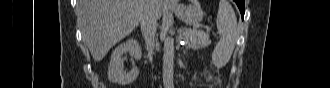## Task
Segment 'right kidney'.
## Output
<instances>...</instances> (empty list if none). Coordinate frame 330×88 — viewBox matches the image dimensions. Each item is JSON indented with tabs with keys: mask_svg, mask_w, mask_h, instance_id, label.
<instances>
[{
	"mask_svg": "<svg viewBox=\"0 0 330 88\" xmlns=\"http://www.w3.org/2000/svg\"><path fill=\"white\" fill-rule=\"evenodd\" d=\"M126 52H129L137 61L142 57L141 47L135 39L130 38L126 42L118 45L111 55L108 67V79L112 83L120 85L130 84L136 80L139 75V69L136 66H133L129 72L124 71L122 55Z\"/></svg>",
	"mask_w": 330,
	"mask_h": 88,
	"instance_id": "right-kidney-1",
	"label": "right kidney"
}]
</instances>
